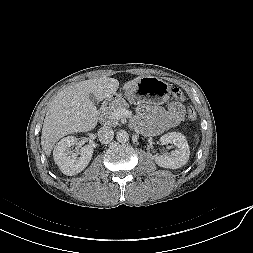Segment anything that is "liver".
<instances>
[{
	"label": "liver",
	"instance_id": "6515ba94",
	"mask_svg": "<svg viewBox=\"0 0 253 253\" xmlns=\"http://www.w3.org/2000/svg\"><path fill=\"white\" fill-rule=\"evenodd\" d=\"M140 76L124 84V89L136 85ZM119 88V81L114 78L100 77L70 85L54 96L46 113L41 145L47 156L57 141L65 135L87 132L95 128L98 111L88 97L94 94L98 100L109 98Z\"/></svg>",
	"mask_w": 253,
	"mask_h": 253
}]
</instances>
